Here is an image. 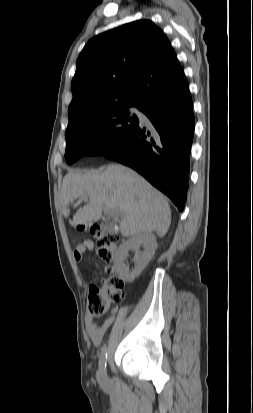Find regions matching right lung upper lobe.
I'll return each mask as SVG.
<instances>
[{
	"mask_svg": "<svg viewBox=\"0 0 253 413\" xmlns=\"http://www.w3.org/2000/svg\"><path fill=\"white\" fill-rule=\"evenodd\" d=\"M69 121L117 105L141 108L181 96L188 82L176 54L152 21L138 20L93 37L76 62Z\"/></svg>",
	"mask_w": 253,
	"mask_h": 413,
	"instance_id": "cb5924a9",
	"label": "right lung upper lobe"
}]
</instances>
